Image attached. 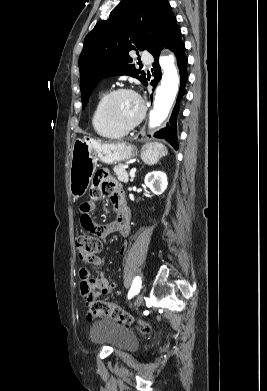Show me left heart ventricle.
I'll return each instance as SVG.
<instances>
[{
  "mask_svg": "<svg viewBox=\"0 0 267 391\" xmlns=\"http://www.w3.org/2000/svg\"><path fill=\"white\" fill-rule=\"evenodd\" d=\"M112 115L116 121L123 125L133 122L140 113V104L131 94L118 95L112 102Z\"/></svg>",
  "mask_w": 267,
  "mask_h": 391,
  "instance_id": "b2bd125f",
  "label": "left heart ventricle"
}]
</instances>
